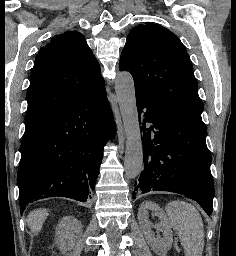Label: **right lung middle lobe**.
I'll return each mask as SVG.
<instances>
[{
  "label": "right lung middle lobe",
  "mask_w": 236,
  "mask_h": 256,
  "mask_svg": "<svg viewBox=\"0 0 236 256\" xmlns=\"http://www.w3.org/2000/svg\"><path fill=\"white\" fill-rule=\"evenodd\" d=\"M25 125H26L25 130H29V129L33 128L34 126H36L37 123H25Z\"/></svg>",
  "instance_id": "right-lung-middle-lobe-1"
}]
</instances>
